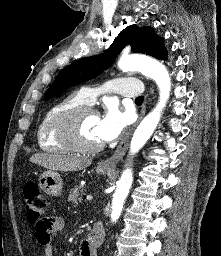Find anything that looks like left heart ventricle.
<instances>
[{"instance_id": "1", "label": "left heart ventricle", "mask_w": 221, "mask_h": 256, "mask_svg": "<svg viewBox=\"0 0 221 256\" xmlns=\"http://www.w3.org/2000/svg\"><path fill=\"white\" fill-rule=\"evenodd\" d=\"M99 117L95 113L86 115L81 123L80 138L86 145H96L101 143L97 135V125Z\"/></svg>"}]
</instances>
